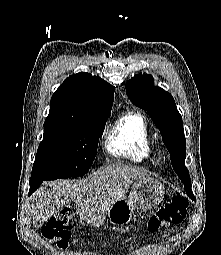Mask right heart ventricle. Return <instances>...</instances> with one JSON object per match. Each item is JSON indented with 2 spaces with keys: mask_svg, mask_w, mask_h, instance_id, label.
I'll return each mask as SVG.
<instances>
[{
  "mask_svg": "<svg viewBox=\"0 0 221 255\" xmlns=\"http://www.w3.org/2000/svg\"><path fill=\"white\" fill-rule=\"evenodd\" d=\"M108 154L147 162L153 152V137L145 117L133 111L122 114L112 125L105 142Z\"/></svg>",
  "mask_w": 221,
  "mask_h": 255,
  "instance_id": "1",
  "label": "right heart ventricle"
}]
</instances>
